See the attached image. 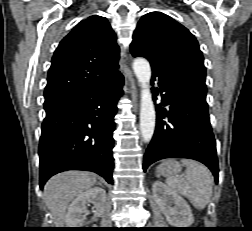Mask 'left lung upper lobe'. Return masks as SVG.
<instances>
[{"mask_svg":"<svg viewBox=\"0 0 252 231\" xmlns=\"http://www.w3.org/2000/svg\"><path fill=\"white\" fill-rule=\"evenodd\" d=\"M130 50L148 59L152 70L180 71L205 81L199 44L188 29L166 14L150 12L137 24Z\"/></svg>","mask_w":252,"mask_h":231,"instance_id":"obj_1","label":"left lung upper lobe"}]
</instances>
